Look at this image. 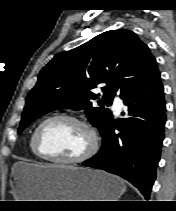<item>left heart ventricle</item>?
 I'll return each instance as SVG.
<instances>
[{"instance_id":"1","label":"left heart ventricle","mask_w":176,"mask_h":211,"mask_svg":"<svg viewBox=\"0 0 176 211\" xmlns=\"http://www.w3.org/2000/svg\"><path fill=\"white\" fill-rule=\"evenodd\" d=\"M40 143L46 154L74 158L83 154L89 147L90 136L82 126L74 122L57 120L42 129Z\"/></svg>"}]
</instances>
